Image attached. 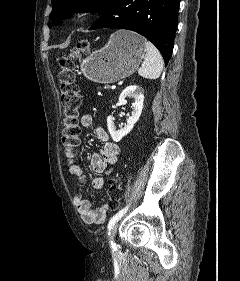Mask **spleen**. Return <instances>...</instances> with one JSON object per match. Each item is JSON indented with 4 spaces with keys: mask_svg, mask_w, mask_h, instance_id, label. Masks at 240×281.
Masks as SVG:
<instances>
[{
    "mask_svg": "<svg viewBox=\"0 0 240 281\" xmlns=\"http://www.w3.org/2000/svg\"><path fill=\"white\" fill-rule=\"evenodd\" d=\"M146 55L142 66L138 69L140 76L146 79H157L163 70V59L158 49L145 40Z\"/></svg>",
    "mask_w": 240,
    "mask_h": 281,
    "instance_id": "3e777b00",
    "label": "spleen"
}]
</instances>
